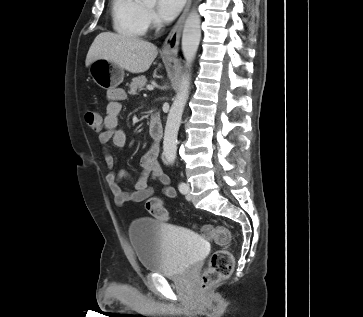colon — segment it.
Returning <instances> with one entry per match:
<instances>
[{
	"mask_svg": "<svg viewBox=\"0 0 363 317\" xmlns=\"http://www.w3.org/2000/svg\"><path fill=\"white\" fill-rule=\"evenodd\" d=\"M87 126L94 132L102 130V118L99 113L93 110H86L84 114ZM147 211L160 221H168L169 215L163 202L158 198H150L146 202ZM202 233L209 240H212L221 248L215 250L209 260L208 267L203 271L200 278V288L208 290L219 281L228 278L234 266V259L231 252L227 249L231 241V233L224 226L205 225Z\"/></svg>",
	"mask_w": 363,
	"mask_h": 317,
	"instance_id": "colon-1",
	"label": "colon"
}]
</instances>
